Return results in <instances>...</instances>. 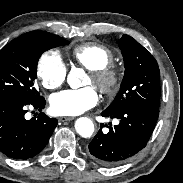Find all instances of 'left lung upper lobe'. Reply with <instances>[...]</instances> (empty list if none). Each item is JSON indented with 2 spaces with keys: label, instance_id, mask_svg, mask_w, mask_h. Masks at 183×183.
<instances>
[{
  "label": "left lung upper lobe",
  "instance_id": "1",
  "mask_svg": "<svg viewBox=\"0 0 183 183\" xmlns=\"http://www.w3.org/2000/svg\"><path fill=\"white\" fill-rule=\"evenodd\" d=\"M118 44L125 73L118 94L105 111L115 112L131 105L159 108L160 71L155 58L131 36L123 35Z\"/></svg>",
  "mask_w": 183,
  "mask_h": 183
}]
</instances>
